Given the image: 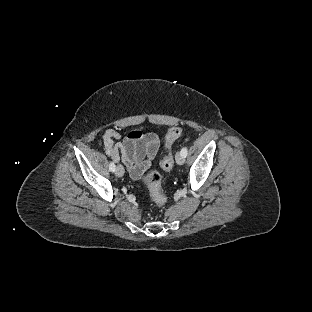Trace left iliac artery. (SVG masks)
Returning <instances> with one entry per match:
<instances>
[{"mask_svg": "<svg viewBox=\"0 0 312 312\" xmlns=\"http://www.w3.org/2000/svg\"><path fill=\"white\" fill-rule=\"evenodd\" d=\"M187 152H188V150H187L186 147H184V148L181 150V154H182L184 157L187 156Z\"/></svg>", "mask_w": 312, "mask_h": 312, "instance_id": "obj_1", "label": "left iliac artery"}]
</instances>
